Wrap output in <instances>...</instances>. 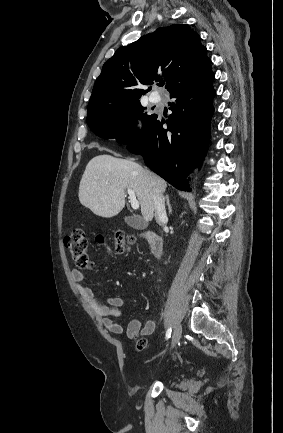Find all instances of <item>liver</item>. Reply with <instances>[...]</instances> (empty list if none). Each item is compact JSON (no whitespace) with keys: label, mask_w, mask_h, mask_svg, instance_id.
<instances>
[{"label":"liver","mask_w":283,"mask_h":433,"mask_svg":"<svg viewBox=\"0 0 283 433\" xmlns=\"http://www.w3.org/2000/svg\"><path fill=\"white\" fill-rule=\"evenodd\" d=\"M166 186V180L131 158L99 154L89 160L82 174L79 200L98 217H115L125 206L126 188H132L149 223L154 217V194H161Z\"/></svg>","instance_id":"1"}]
</instances>
